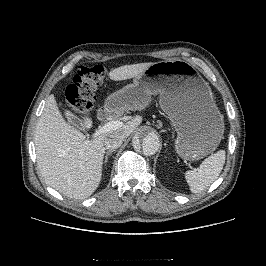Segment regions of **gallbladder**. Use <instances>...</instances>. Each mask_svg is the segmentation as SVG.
<instances>
[{"instance_id": "1", "label": "gallbladder", "mask_w": 266, "mask_h": 266, "mask_svg": "<svg viewBox=\"0 0 266 266\" xmlns=\"http://www.w3.org/2000/svg\"><path fill=\"white\" fill-rule=\"evenodd\" d=\"M65 116L71 123L76 125L80 130H85L83 127L80 126V120L75 115H73L69 111H66Z\"/></svg>"}]
</instances>
